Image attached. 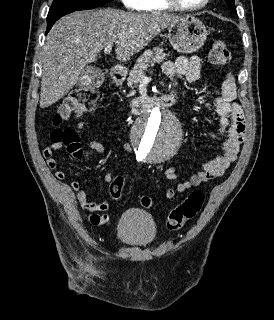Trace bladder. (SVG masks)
I'll use <instances>...</instances> for the list:
<instances>
[{"label":"bladder","mask_w":274,"mask_h":320,"mask_svg":"<svg viewBox=\"0 0 274 320\" xmlns=\"http://www.w3.org/2000/svg\"><path fill=\"white\" fill-rule=\"evenodd\" d=\"M156 234L152 217L140 209L124 212L117 225L119 240L128 246H146L155 240Z\"/></svg>","instance_id":"bladder-1"}]
</instances>
